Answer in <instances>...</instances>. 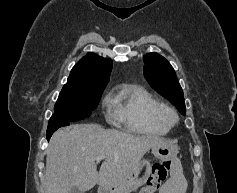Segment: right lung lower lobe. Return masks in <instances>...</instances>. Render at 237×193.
Listing matches in <instances>:
<instances>
[{"mask_svg":"<svg viewBox=\"0 0 237 193\" xmlns=\"http://www.w3.org/2000/svg\"><path fill=\"white\" fill-rule=\"evenodd\" d=\"M68 125H69V122L64 120V119L51 117L50 120H49V123H48V128H47V133H46L47 140L49 141L52 134L58 128H60L62 126H68Z\"/></svg>","mask_w":237,"mask_h":193,"instance_id":"1","label":"right lung lower lobe"}]
</instances>
